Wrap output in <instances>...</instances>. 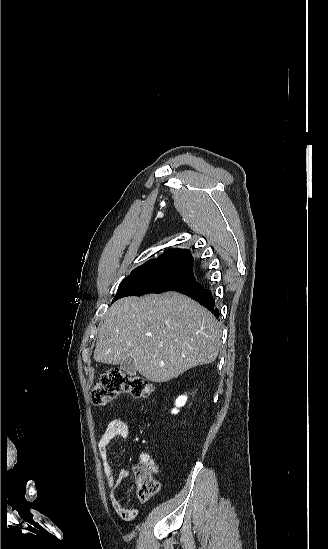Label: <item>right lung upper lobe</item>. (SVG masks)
<instances>
[{
    "instance_id": "1",
    "label": "right lung upper lobe",
    "mask_w": 328,
    "mask_h": 549,
    "mask_svg": "<svg viewBox=\"0 0 328 549\" xmlns=\"http://www.w3.org/2000/svg\"><path fill=\"white\" fill-rule=\"evenodd\" d=\"M193 257L186 249L171 250L135 270H165L192 274ZM133 270V271H135Z\"/></svg>"
}]
</instances>
